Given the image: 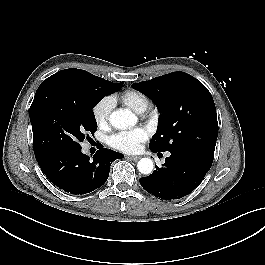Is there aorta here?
<instances>
[{
	"mask_svg": "<svg viewBox=\"0 0 265 265\" xmlns=\"http://www.w3.org/2000/svg\"><path fill=\"white\" fill-rule=\"evenodd\" d=\"M109 121L113 127L125 129L136 124L137 118L130 110L119 109L111 113ZM153 167V161L150 158H142L137 164V168L142 174H151Z\"/></svg>",
	"mask_w": 265,
	"mask_h": 265,
	"instance_id": "762f6f07",
	"label": "aorta"
}]
</instances>
